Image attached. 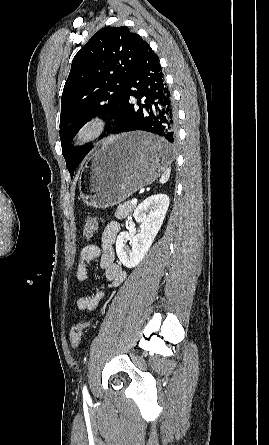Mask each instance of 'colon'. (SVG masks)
<instances>
[{"instance_id": "5ec220e1", "label": "colon", "mask_w": 269, "mask_h": 445, "mask_svg": "<svg viewBox=\"0 0 269 445\" xmlns=\"http://www.w3.org/2000/svg\"><path fill=\"white\" fill-rule=\"evenodd\" d=\"M98 231V221L94 217H88L83 222L82 235L85 241L91 239ZM91 321H84L74 325L70 332V344L73 348H78L81 342L82 335L85 330L91 327Z\"/></svg>"}]
</instances>
